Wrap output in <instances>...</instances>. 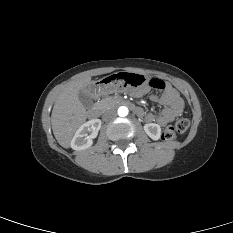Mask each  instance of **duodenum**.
Returning <instances> with one entry per match:
<instances>
[{
    "label": "duodenum",
    "mask_w": 233,
    "mask_h": 233,
    "mask_svg": "<svg viewBox=\"0 0 233 233\" xmlns=\"http://www.w3.org/2000/svg\"><path fill=\"white\" fill-rule=\"evenodd\" d=\"M118 103L120 105H124V106L130 107L137 115L141 116V114H142L141 109H139L138 107L134 106L130 101L124 100V99H120L118 101ZM99 114H100V110H99L98 107H93L88 112V116L91 119H97L99 117Z\"/></svg>",
    "instance_id": "obj_1"
}]
</instances>
